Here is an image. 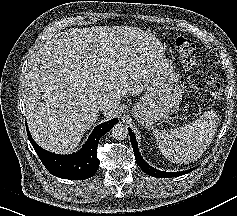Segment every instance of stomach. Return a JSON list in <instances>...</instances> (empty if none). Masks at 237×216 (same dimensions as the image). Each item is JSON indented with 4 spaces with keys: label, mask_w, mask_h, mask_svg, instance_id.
<instances>
[{
    "label": "stomach",
    "mask_w": 237,
    "mask_h": 216,
    "mask_svg": "<svg viewBox=\"0 0 237 216\" xmlns=\"http://www.w3.org/2000/svg\"><path fill=\"white\" fill-rule=\"evenodd\" d=\"M181 89L175 76L154 80L146 88L140 101L132 108V115L145 128L177 110L181 102Z\"/></svg>",
    "instance_id": "0dacf381"
}]
</instances>
